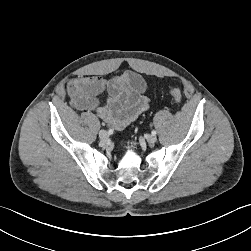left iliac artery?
I'll list each match as a JSON object with an SVG mask.
<instances>
[{
	"label": "left iliac artery",
	"mask_w": 251,
	"mask_h": 251,
	"mask_svg": "<svg viewBox=\"0 0 251 251\" xmlns=\"http://www.w3.org/2000/svg\"><path fill=\"white\" fill-rule=\"evenodd\" d=\"M151 133H152V135H156V131L155 130H153Z\"/></svg>",
	"instance_id": "44dca946"
}]
</instances>
